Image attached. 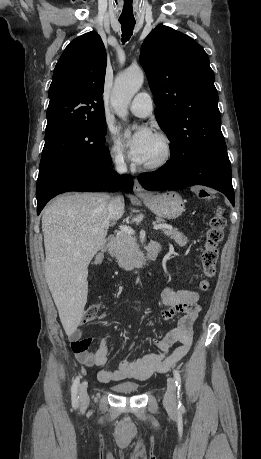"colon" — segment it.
Masks as SVG:
<instances>
[{
	"label": "colon",
	"instance_id": "5ec220e1",
	"mask_svg": "<svg viewBox=\"0 0 261 459\" xmlns=\"http://www.w3.org/2000/svg\"><path fill=\"white\" fill-rule=\"evenodd\" d=\"M197 196L200 199L211 200L214 195L208 188H203L197 191ZM226 220L223 216L222 210L217 208L214 215L210 220V226L206 234V240L201 257L202 269L204 278L201 280L199 287L200 290L205 292L210 288L211 279L216 274V268L219 258V244L223 239ZM99 313V306L92 304L87 307L83 315V321L89 322L97 317Z\"/></svg>",
	"mask_w": 261,
	"mask_h": 459
}]
</instances>
